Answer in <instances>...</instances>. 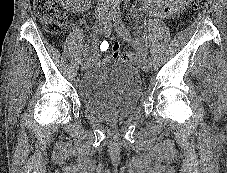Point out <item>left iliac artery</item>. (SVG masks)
Returning a JSON list of instances; mask_svg holds the SVG:
<instances>
[{
    "label": "left iliac artery",
    "mask_w": 227,
    "mask_h": 173,
    "mask_svg": "<svg viewBox=\"0 0 227 173\" xmlns=\"http://www.w3.org/2000/svg\"><path fill=\"white\" fill-rule=\"evenodd\" d=\"M113 21H114V26L116 28V30L118 31V33L128 42L131 43L133 45H139L141 46L142 43L139 41L134 40L130 33L127 31V29L125 28L122 19H121V14L119 10H115L114 15H113ZM147 38V37H146ZM146 38L144 37V41L146 42ZM143 41V42H144ZM150 59V58H149Z\"/></svg>",
    "instance_id": "44dca946"
}]
</instances>
